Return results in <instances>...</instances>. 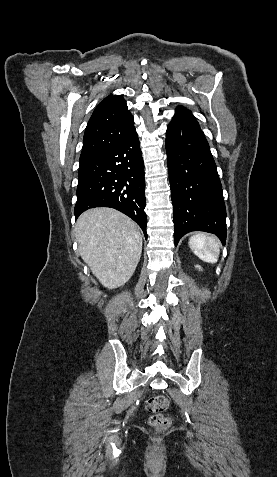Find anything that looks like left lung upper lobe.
Listing matches in <instances>:
<instances>
[{
	"label": "left lung upper lobe",
	"mask_w": 277,
	"mask_h": 477,
	"mask_svg": "<svg viewBox=\"0 0 277 477\" xmlns=\"http://www.w3.org/2000/svg\"><path fill=\"white\" fill-rule=\"evenodd\" d=\"M176 118H184V119H193L195 120V117L192 115L191 111L187 110L186 108L182 106H178L176 108V113L173 117V119Z\"/></svg>",
	"instance_id": "5c2ea615"
}]
</instances>
